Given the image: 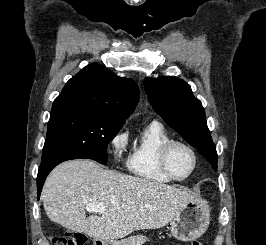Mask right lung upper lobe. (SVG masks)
<instances>
[{
    "mask_svg": "<svg viewBox=\"0 0 266 245\" xmlns=\"http://www.w3.org/2000/svg\"><path fill=\"white\" fill-rule=\"evenodd\" d=\"M139 100L138 85L98 64H90L72 77L55 99L51 116L78 110L94 111L125 120Z\"/></svg>",
    "mask_w": 266,
    "mask_h": 245,
    "instance_id": "1",
    "label": "right lung upper lobe"
}]
</instances>
